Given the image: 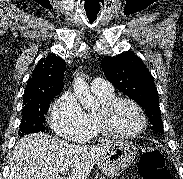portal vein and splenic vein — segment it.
I'll return each mask as SVG.
<instances>
[{"label": "portal vein and splenic vein", "mask_w": 183, "mask_h": 179, "mask_svg": "<svg viewBox=\"0 0 183 179\" xmlns=\"http://www.w3.org/2000/svg\"><path fill=\"white\" fill-rule=\"evenodd\" d=\"M68 170H69L68 168H63V169H61L60 173L62 175H65L68 172Z\"/></svg>", "instance_id": "portal-vein-and-splenic-vein-1"}]
</instances>
